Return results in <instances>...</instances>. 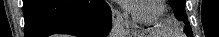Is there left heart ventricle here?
<instances>
[{"label": "left heart ventricle", "instance_id": "b2bd125f", "mask_svg": "<svg viewBox=\"0 0 219 37\" xmlns=\"http://www.w3.org/2000/svg\"><path fill=\"white\" fill-rule=\"evenodd\" d=\"M134 10L141 15H150L156 11V2L154 0L137 1Z\"/></svg>", "mask_w": 219, "mask_h": 37}]
</instances>
